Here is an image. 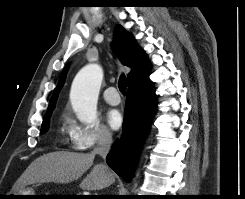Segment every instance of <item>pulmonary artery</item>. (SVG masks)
Masks as SVG:
<instances>
[{
	"label": "pulmonary artery",
	"instance_id": "pulmonary-artery-1",
	"mask_svg": "<svg viewBox=\"0 0 245 199\" xmlns=\"http://www.w3.org/2000/svg\"><path fill=\"white\" fill-rule=\"evenodd\" d=\"M104 100L110 105H118L121 102L120 96L115 87H108L103 92Z\"/></svg>",
	"mask_w": 245,
	"mask_h": 199
}]
</instances>
